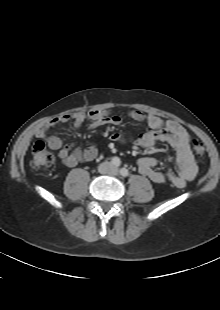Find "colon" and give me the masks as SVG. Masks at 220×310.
Here are the masks:
<instances>
[{
  "mask_svg": "<svg viewBox=\"0 0 220 310\" xmlns=\"http://www.w3.org/2000/svg\"><path fill=\"white\" fill-rule=\"evenodd\" d=\"M192 149L197 156H203L205 147L200 140H193ZM55 162V155L49 151L43 141H36L31 149L30 166L34 170L51 167Z\"/></svg>",
  "mask_w": 220,
  "mask_h": 310,
  "instance_id": "colon-1",
  "label": "colon"
}]
</instances>
